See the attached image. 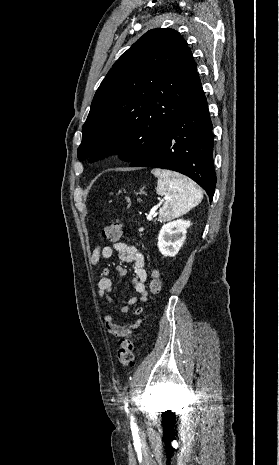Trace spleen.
<instances>
[{
  "mask_svg": "<svg viewBox=\"0 0 279 465\" xmlns=\"http://www.w3.org/2000/svg\"><path fill=\"white\" fill-rule=\"evenodd\" d=\"M152 173L158 177L157 194L164 196L159 210L160 221L186 214L202 201V191L187 177L160 169H154Z\"/></svg>",
  "mask_w": 279,
  "mask_h": 465,
  "instance_id": "obj_1",
  "label": "spleen"
}]
</instances>
